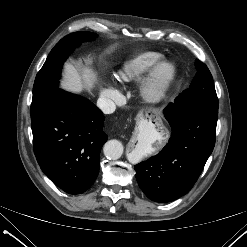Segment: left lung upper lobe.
<instances>
[{"label":"left lung upper lobe","instance_id":"1","mask_svg":"<svg viewBox=\"0 0 247 247\" xmlns=\"http://www.w3.org/2000/svg\"><path fill=\"white\" fill-rule=\"evenodd\" d=\"M195 65L197 73L190 84V87L179 94L176 99L178 100L187 96H196L205 99L211 104L218 105V98L209 69L200 60H196Z\"/></svg>","mask_w":247,"mask_h":247}]
</instances>
